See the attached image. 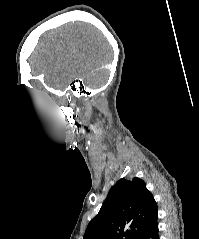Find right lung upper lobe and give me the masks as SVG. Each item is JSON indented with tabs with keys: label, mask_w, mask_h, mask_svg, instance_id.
<instances>
[{
	"label": "right lung upper lobe",
	"mask_w": 199,
	"mask_h": 239,
	"mask_svg": "<svg viewBox=\"0 0 199 239\" xmlns=\"http://www.w3.org/2000/svg\"><path fill=\"white\" fill-rule=\"evenodd\" d=\"M158 207L140 178L120 179L109 191L84 239H137L157 218Z\"/></svg>",
	"instance_id": "1"
}]
</instances>
